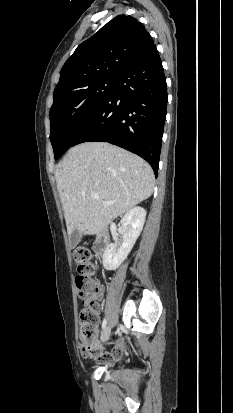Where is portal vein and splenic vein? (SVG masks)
<instances>
[{"instance_id": "portal-vein-and-splenic-vein-1", "label": "portal vein and splenic vein", "mask_w": 233, "mask_h": 413, "mask_svg": "<svg viewBox=\"0 0 233 413\" xmlns=\"http://www.w3.org/2000/svg\"><path fill=\"white\" fill-rule=\"evenodd\" d=\"M93 198L94 199H99V195L97 194V193H94L93 194ZM107 204H110V203H112V202H106Z\"/></svg>"}]
</instances>
